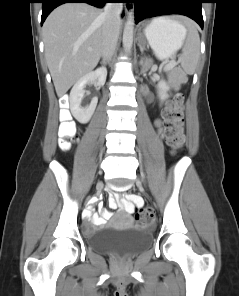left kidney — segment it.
<instances>
[{
    "label": "left kidney",
    "instance_id": "left-kidney-1",
    "mask_svg": "<svg viewBox=\"0 0 239 296\" xmlns=\"http://www.w3.org/2000/svg\"><path fill=\"white\" fill-rule=\"evenodd\" d=\"M158 89V95L161 97V99L166 98V92L169 89L167 82L163 79H161L157 85Z\"/></svg>",
    "mask_w": 239,
    "mask_h": 296
}]
</instances>
